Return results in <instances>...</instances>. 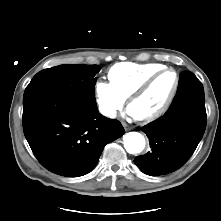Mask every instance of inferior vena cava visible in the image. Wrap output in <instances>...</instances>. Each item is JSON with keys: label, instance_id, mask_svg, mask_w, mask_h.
Here are the masks:
<instances>
[{"label": "inferior vena cava", "instance_id": "inferior-vena-cava-1", "mask_svg": "<svg viewBox=\"0 0 221 221\" xmlns=\"http://www.w3.org/2000/svg\"><path fill=\"white\" fill-rule=\"evenodd\" d=\"M104 114H105L106 116H109V117H111V118H114V117L116 116V111H115V110H107V111L104 112Z\"/></svg>", "mask_w": 221, "mask_h": 221}]
</instances>
